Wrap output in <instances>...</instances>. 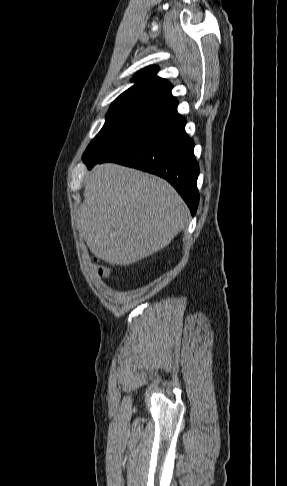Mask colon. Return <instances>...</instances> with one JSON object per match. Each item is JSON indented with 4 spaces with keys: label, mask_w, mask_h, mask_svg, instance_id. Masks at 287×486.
<instances>
[{
    "label": "colon",
    "mask_w": 287,
    "mask_h": 486,
    "mask_svg": "<svg viewBox=\"0 0 287 486\" xmlns=\"http://www.w3.org/2000/svg\"><path fill=\"white\" fill-rule=\"evenodd\" d=\"M98 272L101 276H108L110 274V268L106 265L99 264L98 266Z\"/></svg>",
    "instance_id": "obj_1"
}]
</instances>
